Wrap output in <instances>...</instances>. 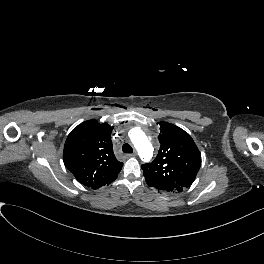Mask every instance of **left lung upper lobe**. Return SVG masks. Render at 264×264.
Here are the masks:
<instances>
[{
  "instance_id": "obj_1",
  "label": "left lung upper lobe",
  "mask_w": 264,
  "mask_h": 264,
  "mask_svg": "<svg viewBox=\"0 0 264 264\" xmlns=\"http://www.w3.org/2000/svg\"><path fill=\"white\" fill-rule=\"evenodd\" d=\"M158 139L157 157L141 165L146 183L162 192H182L196 178L201 153L187 132L167 122H160Z\"/></svg>"
}]
</instances>
